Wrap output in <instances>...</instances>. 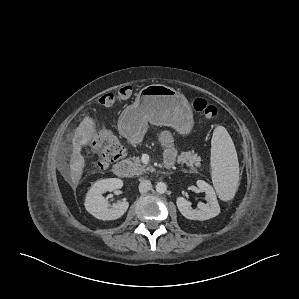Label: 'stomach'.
I'll use <instances>...</instances> for the list:
<instances>
[{
    "mask_svg": "<svg viewBox=\"0 0 299 299\" xmlns=\"http://www.w3.org/2000/svg\"><path fill=\"white\" fill-rule=\"evenodd\" d=\"M129 137L145 133L148 123L170 126L180 135H188L194 125L193 112L187 98L179 91L162 84L142 88L135 102L120 117Z\"/></svg>",
    "mask_w": 299,
    "mask_h": 299,
    "instance_id": "stomach-1",
    "label": "stomach"
}]
</instances>
